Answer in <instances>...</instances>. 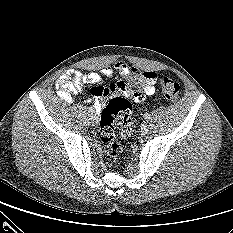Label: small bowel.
Returning a JSON list of instances; mask_svg holds the SVG:
<instances>
[{"instance_id":"obj_1","label":"small bowel","mask_w":233,"mask_h":233,"mask_svg":"<svg viewBox=\"0 0 233 233\" xmlns=\"http://www.w3.org/2000/svg\"><path fill=\"white\" fill-rule=\"evenodd\" d=\"M134 68L128 67L124 62L118 61L113 67L104 68L101 73L111 79L114 71H117L121 79L116 82H111L108 86H94L90 91V97L85 101L91 103L96 109H100L103 101L115 94H123L128 97H133L128 89V81ZM146 78L141 89V96L134 98L135 101H140L143 94L151 95L154 93V83L156 75L154 72L148 71L143 73ZM102 76L98 72H89L84 74L78 70H68L64 72L56 81V89L58 95L66 102H73L77 95L85 85H97L101 82Z\"/></svg>"}]
</instances>
